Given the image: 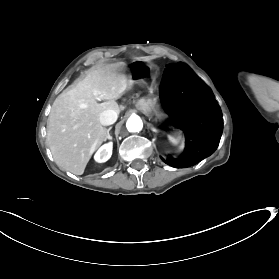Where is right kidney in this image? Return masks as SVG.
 <instances>
[{
  "mask_svg": "<svg viewBox=\"0 0 279 279\" xmlns=\"http://www.w3.org/2000/svg\"><path fill=\"white\" fill-rule=\"evenodd\" d=\"M112 148H113L112 142H108L102 145L94 155V160L98 163L106 162L107 160L110 159L112 155Z\"/></svg>",
  "mask_w": 279,
  "mask_h": 279,
  "instance_id": "1",
  "label": "right kidney"
}]
</instances>
